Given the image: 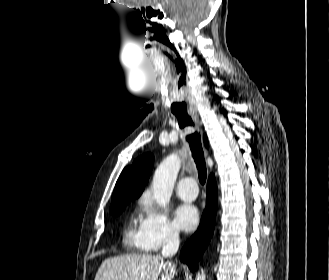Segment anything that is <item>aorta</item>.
<instances>
[{"label":"aorta","mask_w":329,"mask_h":280,"mask_svg":"<svg viewBox=\"0 0 329 280\" xmlns=\"http://www.w3.org/2000/svg\"><path fill=\"white\" fill-rule=\"evenodd\" d=\"M180 167L181 160L175 153L170 154L157 167L152 181V192L159 206L165 208L168 205ZM205 278L206 275L201 270L195 280H205Z\"/></svg>","instance_id":"obj_1"}]
</instances>
